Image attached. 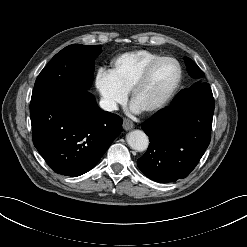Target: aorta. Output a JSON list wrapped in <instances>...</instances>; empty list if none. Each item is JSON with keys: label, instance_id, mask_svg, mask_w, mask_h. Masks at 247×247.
I'll return each mask as SVG.
<instances>
[{"label": "aorta", "instance_id": "1", "mask_svg": "<svg viewBox=\"0 0 247 247\" xmlns=\"http://www.w3.org/2000/svg\"><path fill=\"white\" fill-rule=\"evenodd\" d=\"M126 141L130 148L135 151L143 152L148 148V136L141 130H133L126 136Z\"/></svg>", "mask_w": 247, "mask_h": 247}]
</instances>
